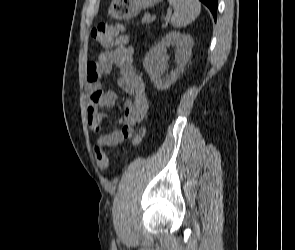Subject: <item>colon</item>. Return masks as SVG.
Masks as SVG:
<instances>
[{"instance_id":"colon-1","label":"colon","mask_w":295,"mask_h":250,"mask_svg":"<svg viewBox=\"0 0 295 250\" xmlns=\"http://www.w3.org/2000/svg\"><path fill=\"white\" fill-rule=\"evenodd\" d=\"M122 25L120 23H98L91 30V36L101 45L109 47L113 44L116 36L121 32ZM143 131L140 130L134 137V143H138L142 137ZM96 160L100 168L104 169L108 166V156L103 147L95 145Z\"/></svg>"}]
</instances>
